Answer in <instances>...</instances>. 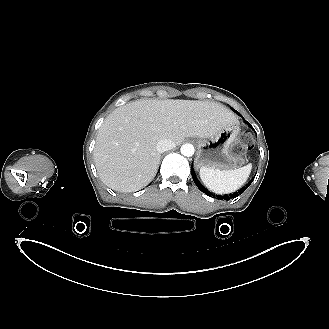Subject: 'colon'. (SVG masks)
<instances>
[{
	"label": "colon",
	"instance_id": "5ec220e1",
	"mask_svg": "<svg viewBox=\"0 0 329 329\" xmlns=\"http://www.w3.org/2000/svg\"><path fill=\"white\" fill-rule=\"evenodd\" d=\"M241 143L246 147H252L253 144L252 136L249 133H245L241 138Z\"/></svg>",
	"mask_w": 329,
	"mask_h": 329
}]
</instances>
